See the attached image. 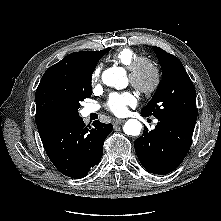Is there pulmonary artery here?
I'll return each instance as SVG.
<instances>
[{
  "label": "pulmonary artery",
  "mask_w": 221,
  "mask_h": 221,
  "mask_svg": "<svg viewBox=\"0 0 221 221\" xmlns=\"http://www.w3.org/2000/svg\"><path fill=\"white\" fill-rule=\"evenodd\" d=\"M98 109L99 107L97 105H89L86 107V112L89 114L97 111Z\"/></svg>",
  "instance_id": "e3ab8cb5"
}]
</instances>
